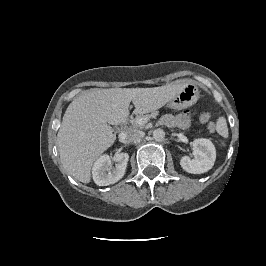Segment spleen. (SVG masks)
<instances>
[{
    "label": "spleen",
    "mask_w": 266,
    "mask_h": 266,
    "mask_svg": "<svg viewBox=\"0 0 266 266\" xmlns=\"http://www.w3.org/2000/svg\"><path fill=\"white\" fill-rule=\"evenodd\" d=\"M216 130L218 134H220L222 137L227 138L228 137V127L226 123V119L224 117H220L217 121Z\"/></svg>",
    "instance_id": "spleen-1"
}]
</instances>
